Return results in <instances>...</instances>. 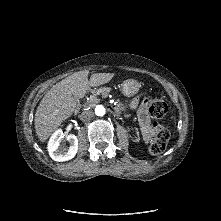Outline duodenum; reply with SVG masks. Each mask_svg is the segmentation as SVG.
<instances>
[{
    "label": "duodenum",
    "mask_w": 221,
    "mask_h": 221,
    "mask_svg": "<svg viewBox=\"0 0 221 221\" xmlns=\"http://www.w3.org/2000/svg\"><path fill=\"white\" fill-rule=\"evenodd\" d=\"M111 111H112L113 113H118V112H119V108H118L117 106L112 105V106H111Z\"/></svg>",
    "instance_id": "410a0bca"
}]
</instances>
